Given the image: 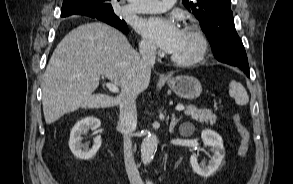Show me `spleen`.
Listing matches in <instances>:
<instances>
[{"label":"spleen","mask_w":293,"mask_h":184,"mask_svg":"<svg viewBox=\"0 0 293 184\" xmlns=\"http://www.w3.org/2000/svg\"><path fill=\"white\" fill-rule=\"evenodd\" d=\"M229 94L238 105H246L249 102V96L243 85L234 80L229 84Z\"/></svg>","instance_id":"obj_1"}]
</instances>
